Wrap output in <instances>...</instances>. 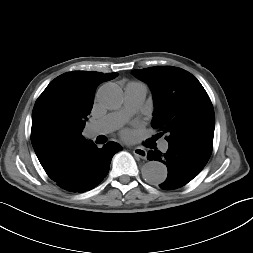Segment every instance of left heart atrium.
I'll return each instance as SVG.
<instances>
[{
    "mask_svg": "<svg viewBox=\"0 0 253 253\" xmlns=\"http://www.w3.org/2000/svg\"><path fill=\"white\" fill-rule=\"evenodd\" d=\"M129 133L127 131L124 132V136H128Z\"/></svg>",
    "mask_w": 253,
    "mask_h": 253,
    "instance_id": "obj_1",
    "label": "left heart atrium"
}]
</instances>
